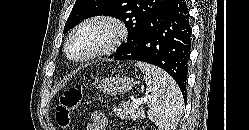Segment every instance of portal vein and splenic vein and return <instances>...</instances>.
I'll use <instances>...</instances> for the list:
<instances>
[{
    "instance_id": "1",
    "label": "portal vein and splenic vein",
    "mask_w": 249,
    "mask_h": 130,
    "mask_svg": "<svg viewBox=\"0 0 249 130\" xmlns=\"http://www.w3.org/2000/svg\"><path fill=\"white\" fill-rule=\"evenodd\" d=\"M146 101H147L146 98L133 99V105L138 106V105L146 103Z\"/></svg>"
}]
</instances>
